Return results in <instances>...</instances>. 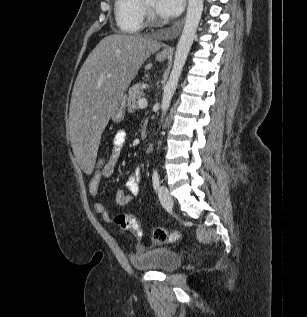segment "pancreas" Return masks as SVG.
I'll use <instances>...</instances> for the list:
<instances>
[{
	"instance_id": "pancreas-1",
	"label": "pancreas",
	"mask_w": 307,
	"mask_h": 317,
	"mask_svg": "<svg viewBox=\"0 0 307 317\" xmlns=\"http://www.w3.org/2000/svg\"><path fill=\"white\" fill-rule=\"evenodd\" d=\"M128 94H129L127 98L128 111L130 113H133L135 110L138 109L137 107L138 100L144 95L141 88V84L138 83L130 87Z\"/></svg>"
}]
</instances>
